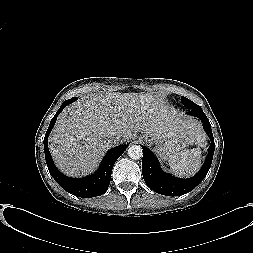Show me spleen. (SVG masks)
I'll return each instance as SVG.
<instances>
[{
  "instance_id": "1",
  "label": "spleen",
  "mask_w": 253,
  "mask_h": 253,
  "mask_svg": "<svg viewBox=\"0 0 253 253\" xmlns=\"http://www.w3.org/2000/svg\"><path fill=\"white\" fill-rule=\"evenodd\" d=\"M170 169L180 177L194 175L201 167L200 147L191 150H182L168 158Z\"/></svg>"
}]
</instances>
